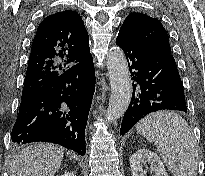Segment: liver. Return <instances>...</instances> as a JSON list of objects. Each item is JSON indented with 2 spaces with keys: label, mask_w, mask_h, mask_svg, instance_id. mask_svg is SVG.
Masks as SVG:
<instances>
[{
  "label": "liver",
  "mask_w": 205,
  "mask_h": 176,
  "mask_svg": "<svg viewBox=\"0 0 205 176\" xmlns=\"http://www.w3.org/2000/svg\"><path fill=\"white\" fill-rule=\"evenodd\" d=\"M63 151L51 144H35L16 154L10 176H54L60 169Z\"/></svg>",
  "instance_id": "liver-1"
}]
</instances>
